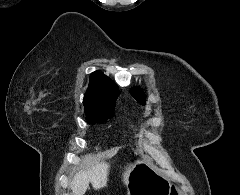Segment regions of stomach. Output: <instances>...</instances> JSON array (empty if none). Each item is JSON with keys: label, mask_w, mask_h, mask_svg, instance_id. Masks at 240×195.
Listing matches in <instances>:
<instances>
[{"label": "stomach", "mask_w": 240, "mask_h": 195, "mask_svg": "<svg viewBox=\"0 0 240 195\" xmlns=\"http://www.w3.org/2000/svg\"><path fill=\"white\" fill-rule=\"evenodd\" d=\"M127 195H169L168 179L144 159H137L128 173Z\"/></svg>", "instance_id": "1"}]
</instances>
